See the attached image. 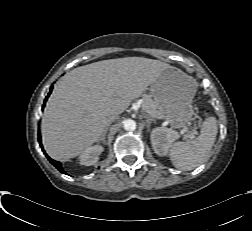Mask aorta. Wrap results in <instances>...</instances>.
Here are the masks:
<instances>
[{"label":"aorta","instance_id":"1","mask_svg":"<svg viewBox=\"0 0 252 231\" xmlns=\"http://www.w3.org/2000/svg\"><path fill=\"white\" fill-rule=\"evenodd\" d=\"M123 127L126 131H133L136 129V122L132 119H127L124 121Z\"/></svg>","mask_w":252,"mask_h":231}]
</instances>
